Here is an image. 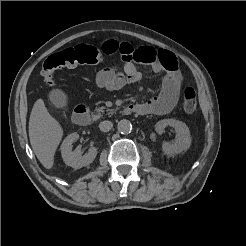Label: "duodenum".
I'll list each match as a JSON object with an SVG mask.
<instances>
[{
    "label": "duodenum",
    "mask_w": 246,
    "mask_h": 246,
    "mask_svg": "<svg viewBox=\"0 0 246 246\" xmlns=\"http://www.w3.org/2000/svg\"><path fill=\"white\" fill-rule=\"evenodd\" d=\"M139 111V106L138 104H130L124 109V112L126 114H131V113H138ZM72 120L74 124L78 126H86L90 123L91 121V113L90 110L84 106V105H79L75 108Z\"/></svg>",
    "instance_id": "1"
}]
</instances>
